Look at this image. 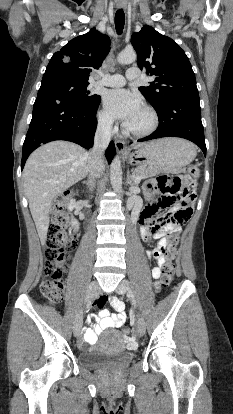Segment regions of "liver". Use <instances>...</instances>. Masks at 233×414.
<instances>
[{
	"label": "liver",
	"mask_w": 233,
	"mask_h": 414,
	"mask_svg": "<svg viewBox=\"0 0 233 414\" xmlns=\"http://www.w3.org/2000/svg\"><path fill=\"white\" fill-rule=\"evenodd\" d=\"M89 155L75 143L53 141L36 149L27 159L23 170L24 191L42 244L47 238L53 200L87 176Z\"/></svg>",
	"instance_id": "obj_1"
}]
</instances>
